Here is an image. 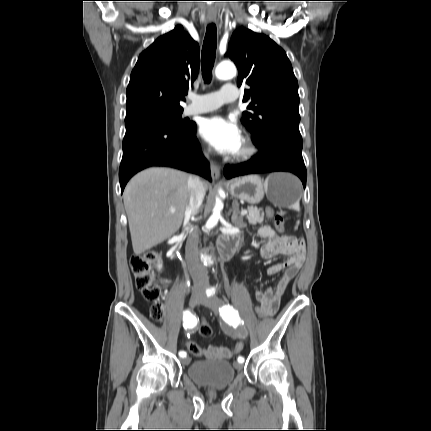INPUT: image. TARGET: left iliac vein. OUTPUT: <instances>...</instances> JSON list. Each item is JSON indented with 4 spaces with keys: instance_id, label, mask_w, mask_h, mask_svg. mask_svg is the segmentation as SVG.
Returning <instances> with one entry per match:
<instances>
[{
    "instance_id": "obj_1",
    "label": "left iliac vein",
    "mask_w": 431,
    "mask_h": 431,
    "mask_svg": "<svg viewBox=\"0 0 431 431\" xmlns=\"http://www.w3.org/2000/svg\"><path fill=\"white\" fill-rule=\"evenodd\" d=\"M201 304L205 305L206 307L210 308L215 314H219V309L222 305V302L219 298H217L216 296H212V297H203L201 300ZM236 367L241 369L242 368V364L241 363H237Z\"/></svg>"
}]
</instances>
